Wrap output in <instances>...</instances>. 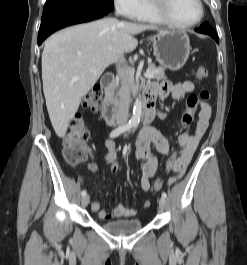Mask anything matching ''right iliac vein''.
<instances>
[{
    "instance_id": "63e3f726",
    "label": "right iliac vein",
    "mask_w": 247,
    "mask_h": 265,
    "mask_svg": "<svg viewBox=\"0 0 247 265\" xmlns=\"http://www.w3.org/2000/svg\"><path fill=\"white\" fill-rule=\"evenodd\" d=\"M89 201H90V197H89V195H85V196H83L82 199H81V203H82V205H83L84 207L88 205Z\"/></svg>"
}]
</instances>
